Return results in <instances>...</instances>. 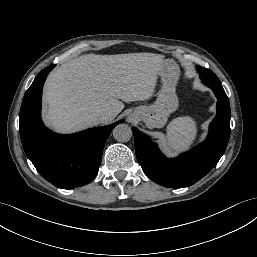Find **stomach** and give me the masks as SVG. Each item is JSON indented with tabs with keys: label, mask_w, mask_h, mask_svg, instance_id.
<instances>
[{
	"label": "stomach",
	"mask_w": 257,
	"mask_h": 257,
	"mask_svg": "<svg viewBox=\"0 0 257 257\" xmlns=\"http://www.w3.org/2000/svg\"><path fill=\"white\" fill-rule=\"evenodd\" d=\"M162 87L157 100L149 106H139L133 111L138 120L145 122L148 128L163 127L169 115L179 106L176 85L179 80V69L171 60H165L159 71Z\"/></svg>",
	"instance_id": "0dacf381"
}]
</instances>
